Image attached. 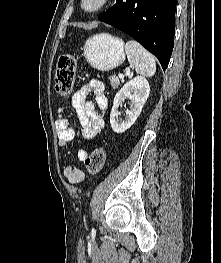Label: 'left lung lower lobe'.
Listing matches in <instances>:
<instances>
[{"label":"left lung lower lobe","mask_w":221,"mask_h":263,"mask_svg":"<svg viewBox=\"0 0 221 263\" xmlns=\"http://www.w3.org/2000/svg\"><path fill=\"white\" fill-rule=\"evenodd\" d=\"M176 4L177 0H117L98 19L137 40L165 71L174 46Z\"/></svg>","instance_id":"1"}]
</instances>
